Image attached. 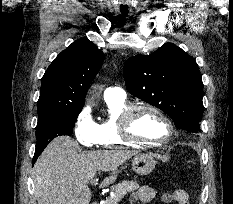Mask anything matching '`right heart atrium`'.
Returning a JSON list of instances; mask_svg holds the SVG:
<instances>
[{
  "mask_svg": "<svg viewBox=\"0 0 233 204\" xmlns=\"http://www.w3.org/2000/svg\"><path fill=\"white\" fill-rule=\"evenodd\" d=\"M73 131L76 140L84 147L98 145L97 123L93 120L90 109L83 107L77 114Z\"/></svg>",
  "mask_w": 233,
  "mask_h": 204,
  "instance_id": "1",
  "label": "right heart atrium"
}]
</instances>
